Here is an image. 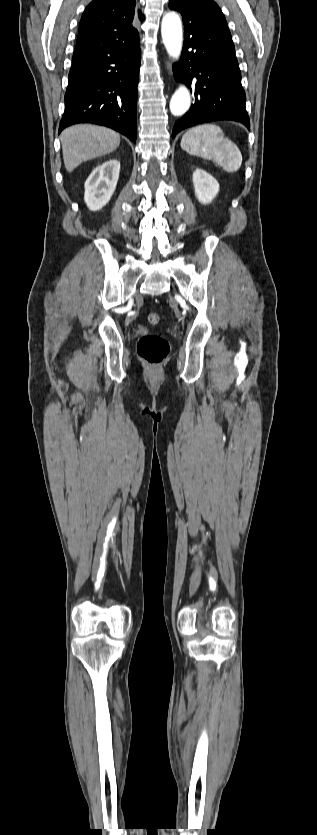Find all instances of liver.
Returning <instances> with one entry per match:
<instances>
[{"mask_svg": "<svg viewBox=\"0 0 317 835\" xmlns=\"http://www.w3.org/2000/svg\"><path fill=\"white\" fill-rule=\"evenodd\" d=\"M60 139L68 172H72L84 161L115 151L120 144V135L114 130L89 124L65 129Z\"/></svg>", "mask_w": 317, "mask_h": 835, "instance_id": "6515ba94", "label": "liver"}]
</instances>
